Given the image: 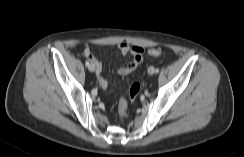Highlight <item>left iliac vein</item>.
<instances>
[{
  "label": "left iliac vein",
  "instance_id": "obj_1",
  "mask_svg": "<svg viewBox=\"0 0 244 157\" xmlns=\"http://www.w3.org/2000/svg\"><path fill=\"white\" fill-rule=\"evenodd\" d=\"M148 73H149L150 75H152V74L155 73V69H154L153 66H150V67H149V69H148Z\"/></svg>",
  "mask_w": 244,
  "mask_h": 157
}]
</instances>
